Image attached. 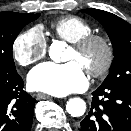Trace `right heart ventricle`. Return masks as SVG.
<instances>
[{"mask_svg":"<svg viewBox=\"0 0 131 131\" xmlns=\"http://www.w3.org/2000/svg\"><path fill=\"white\" fill-rule=\"evenodd\" d=\"M51 30L56 37L69 43H75L92 34L93 27L80 17L65 16L52 22Z\"/></svg>","mask_w":131,"mask_h":131,"instance_id":"e07e8e85","label":"right heart ventricle"}]
</instances>
